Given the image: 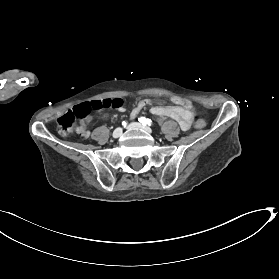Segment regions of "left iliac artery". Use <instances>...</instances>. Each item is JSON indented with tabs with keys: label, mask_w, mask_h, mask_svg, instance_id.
Wrapping results in <instances>:
<instances>
[{
	"label": "left iliac artery",
	"mask_w": 279,
	"mask_h": 279,
	"mask_svg": "<svg viewBox=\"0 0 279 279\" xmlns=\"http://www.w3.org/2000/svg\"><path fill=\"white\" fill-rule=\"evenodd\" d=\"M138 120L144 125V126H151L152 121L150 119H147L145 117H140Z\"/></svg>",
	"instance_id": "obj_1"
}]
</instances>
